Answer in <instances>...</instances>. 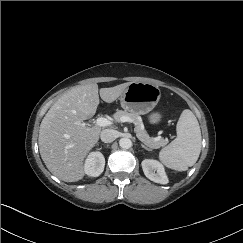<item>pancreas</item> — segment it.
Instances as JSON below:
<instances>
[{
  "label": "pancreas",
  "instance_id": "pancreas-1",
  "mask_svg": "<svg viewBox=\"0 0 243 243\" xmlns=\"http://www.w3.org/2000/svg\"><path fill=\"white\" fill-rule=\"evenodd\" d=\"M114 119L116 121H120L122 117H129L133 121L136 122L135 126V131H136V136L137 138L142 141L146 146H148L151 149H157L166 144V141L164 139H157L150 137L146 130L144 129L142 122H141V117L134 112H128V111H123V110H117V112L114 114Z\"/></svg>",
  "mask_w": 243,
  "mask_h": 243
}]
</instances>
